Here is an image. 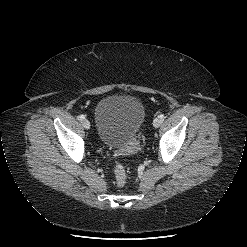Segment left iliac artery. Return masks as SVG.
Here are the masks:
<instances>
[{
    "label": "left iliac artery",
    "mask_w": 247,
    "mask_h": 247,
    "mask_svg": "<svg viewBox=\"0 0 247 247\" xmlns=\"http://www.w3.org/2000/svg\"><path fill=\"white\" fill-rule=\"evenodd\" d=\"M159 118L163 120L165 118V116L163 114H161V115H159Z\"/></svg>",
    "instance_id": "left-iliac-artery-1"
}]
</instances>
